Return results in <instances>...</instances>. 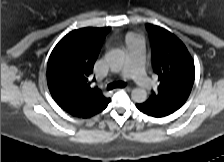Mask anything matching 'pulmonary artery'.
Listing matches in <instances>:
<instances>
[{
  "label": "pulmonary artery",
  "mask_w": 224,
  "mask_h": 162,
  "mask_svg": "<svg viewBox=\"0 0 224 162\" xmlns=\"http://www.w3.org/2000/svg\"><path fill=\"white\" fill-rule=\"evenodd\" d=\"M126 53L125 66L119 76L132 78L142 88L151 87L153 82L144 68L143 41L139 38L131 40L127 44Z\"/></svg>",
  "instance_id": "1"
}]
</instances>
